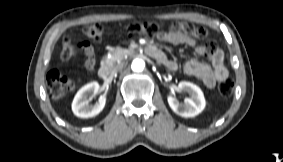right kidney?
<instances>
[{
  "instance_id": "right-kidney-1",
  "label": "right kidney",
  "mask_w": 283,
  "mask_h": 162,
  "mask_svg": "<svg viewBox=\"0 0 283 162\" xmlns=\"http://www.w3.org/2000/svg\"><path fill=\"white\" fill-rule=\"evenodd\" d=\"M99 84L96 81L83 86L75 95L72 102V111L77 117L90 118L98 115L104 108L106 97L101 96L95 105H90L88 96L97 93Z\"/></svg>"
}]
</instances>
